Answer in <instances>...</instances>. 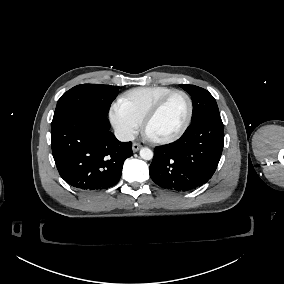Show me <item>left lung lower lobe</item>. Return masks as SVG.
<instances>
[{
  "label": "left lung lower lobe",
  "instance_id": "left-lung-lower-lobe-1",
  "mask_svg": "<svg viewBox=\"0 0 284 284\" xmlns=\"http://www.w3.org/2000/svg\"><path fill=\"white\" fill-rule=\"evenodd\" d=\"M223 144L220 115L193 121L178 141L154 150L150 177L158 186L172 191L196 189L214 174Z\"/></svg>",
  "mask_w": 284,
  "mask_h": 284
}]
</instances>
